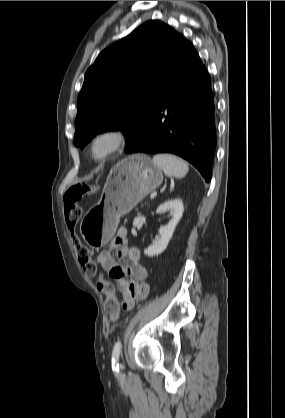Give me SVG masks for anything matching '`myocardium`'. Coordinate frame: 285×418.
I'll return each instance as SVG.
<instances>
[{
  "label": "myocardium",
  "mask_w": 285,
  "mask_h": 418,
  "mask_svg": "<svg viewBox=\"0 0 285 418\" xmlns=\"http://www.w3.org/2000/svg\"><path fill=\"white\" fill-rule=\"evenodd\" d=\"M126 144L125 133L117 128H105L96 132L89 140L88 152L95 162H104L120 152Z\"/></svg>",
  "instance_id": "f54148a6"
}]
</instances>
